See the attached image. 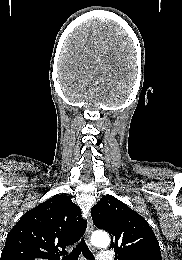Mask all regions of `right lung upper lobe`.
<instances>
[{
	"label": "right lung upper lobe",
	"instance_id": "cb5924a9",
	"mask_svg": "<svg viewBox=\"0 0 182 260\" xmlns=\"http://www.w3.org/2000/svg\"><path fill=\"white\" fill-rule=\"evenodd\" d=\"M86 227L71 198L55 195L20 218L7 235L0 260H59Z\"/></svg>",
	"mask_w": 182,
	"mask_h": 260
}]
</instances>
